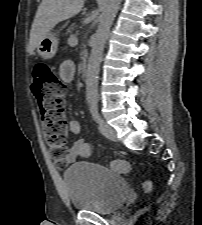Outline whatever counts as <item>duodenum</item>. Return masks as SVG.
Returning <instances> with one entry per match:
<instances>
[{
	"instance_id": "duodenum-1",
	"label": "duodenum",
	"mask_w": 202,
	"mask_h": 225,
	"mask_svg": "<svg viewBox=\"0 0 202 225\" xmlns=\"http://www.w3.org/2000/svg\"><path fill=\"white\" fill-rule=\"evenodd\" d=\"M88 58L86 56H84L82 58V62H81V67H82V72H83V76L86 75L87 70H88Z\"/></svg>"
}]
</instances>
